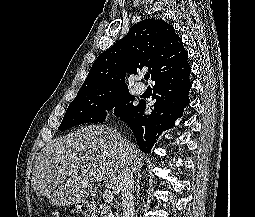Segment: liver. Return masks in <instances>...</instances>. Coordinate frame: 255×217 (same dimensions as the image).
<instances>
[{"label": "liver", "instance_id": "liver-1", "mask_svg": "<svg viewBox=\"0 0 255 217\" xmlns=\"http://www.w3.org/2000/svg\"><path fill=\"white\" fill-rule=\"evenodd\" d=\"M123 158L132 172H139L143 156L116 129L90 125L58 138L37 155L31 184L37 196L52 205L85 202L92 191L94 175L115 195L121 192ZM72 171L71 175H67Z\"/></svg>", "mask_w": 255, "mask_h": 217}]
</instances>
